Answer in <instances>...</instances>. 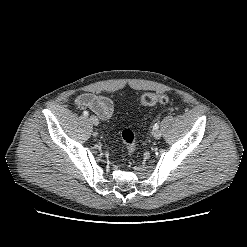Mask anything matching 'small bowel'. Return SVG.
<instances>
[{
    "instance_id": "small-bowel-1",
    "label": "small bowel",
    "mask_w": 247,
    "mask_h": 247,
    "mask_svg": "<svg viewBox=\"0 0 247 247\" xmlns=\"http://www.w3.org/2000/svg\"><path fill=\"white\" fill-rule=\"evenodd\" d=\"M76 105L79 108H89L99 118L108 119L114 110V102L105 96L85 93L77 97Z\"/></svg>"
}]
</instances>
